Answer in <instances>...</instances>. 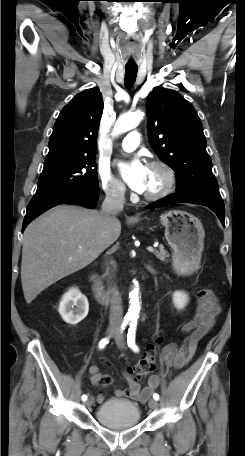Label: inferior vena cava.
Returning <instances> with one entry per match:
<instances>
[{"instance_id": "602c4592", "label": "inferior vena cava", "mask_w": 245, "mask_h": 456, "mask_svg": "<svg viewBox=\"0 0 245 456\" xmlns=\"http://www.w3.org/2000/svg\"><path fill=\"white\" fill-rule=\"evenodd\" d=\"M125 203L123 189H110L106 192V197L102 203L101 215L106 221H111L112 215L123 210ZM113 294L116 292L115 287H111ZM123 308L120 298L114 296L110 308L109 324L112 327H119L122 323Z\"/></svg>"}]
</instances>
